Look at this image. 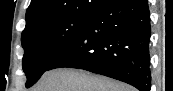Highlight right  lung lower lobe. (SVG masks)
Returning a JSON list of instances; mask_svg holds the SVG:
<instances>
[{"label":"right lung lower lobe","mask_w":173,"mask_h":91,"mask_svg":"<svg viewBox=\"0 0 173 91\" xmlns=\"http://www.w3.org/2000/svg\"><path fill=\"white\" fill-rule=\"evenodd\" d=\"M150 36L147 0H107L47 70L84 69L150 91Z\"/></svg>","instance_id":"98d812e1"}]
</instances>
